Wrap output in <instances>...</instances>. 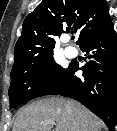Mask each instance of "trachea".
I'll return each mask as SVG.
<instances>
[{"instance_id": "1", "label": "trachea", "mask_w": 117, "mask_h": 131, "mask_svg": "<svg viewBox=\"0 0 117 131\" xmlns=\"http://www.w3.org/2000/svg\"><path fill=\"white\" fill-rule=\"evenodd\" d=\"M72 40H74V36H72V38H71Z\"/></svg>"}]
</instances>
